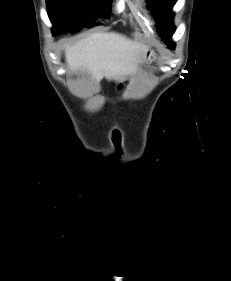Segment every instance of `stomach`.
I'll return each instance as SVG.
<instances>
[{"label":"stomach","mask_w":231,"mask_h":281,"mask_svg":"<svg viewBox=\"0 0 231 281\" xmlns=\"http://www.w3.org/2000/svg\"><path fill=\"white\" fill-rule=\"evenodd\" d=\"M145 60L153 61L155 60V53L151 50H148L145 55Z\"/></svg>","instance_id":"0dacf381"}]
</instances>
